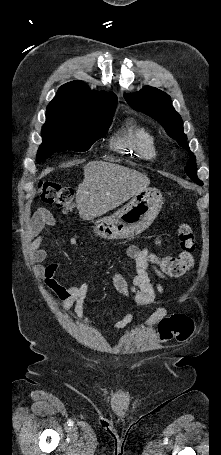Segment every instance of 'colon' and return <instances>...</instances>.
<instances>
[{
	"label": "colon",
	"instance_id": "obj_1",
	"mask_svg": "<svg viewBox=\"0 0 221 455\" xmlns=\"http://www.w3.org/2000/svg\"><path fill=\"white\" fill-rule=\"evenodd\" d=\"M38 198L43 203L55 206L64 213H69L75 208L73 190L54 181L39 182ZM178 235L182 248L179 256H153L150 258V261L162 273L170 277L181 276L194 265L197 242L192 227L187 223L180 224ZM193 330L192 320L183 314L165 317L158 323L159 338L164 342L174 338L178 341H186L191 337Z\"/></svg>",
	"mask_w": 221,
	"mask_h": 455
}]
</instances>
